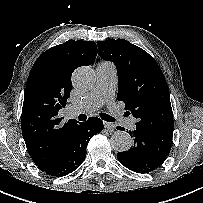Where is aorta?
Wrapping results in <instances>:
<instances>
[{"mask_svg": "<svg viewBox=\"0 0 203 203\" xmlns=\"http://www.w3.org/2000/svg\"><path fill=\"white\" fill-rule=\"evenodd\" d=\"M96 80L93 69L83 66L77 68L72 76L74 87L81 92L88 91ZM111 146L119 152L127 151L132 146V138L126 131H115L110 138Z\"/></svg>", "mask_w": 203, "mask_h": 203, "instance_id": "obj_1", "label": "aorta"}]
</instances>
